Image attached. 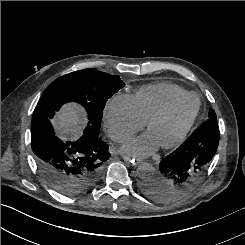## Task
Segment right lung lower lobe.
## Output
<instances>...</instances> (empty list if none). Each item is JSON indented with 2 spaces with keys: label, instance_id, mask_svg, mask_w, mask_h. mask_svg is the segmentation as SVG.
Here are the masks:
<instances>
[{
  "label": "right lung lower lobe",
  "instance_id": "98d812e1",
  "mask_svg": "<svg viewBox=\"0 0 245 245\" xmlns=\"http://www.w3.org/2000/svg\"><path fill=\"white\" fill-rule=\"evenodd\" d=\"M55 110L37 105L31 123V146L45 181L65 196L81 194L92 187L109 159V146L98 135L84 132L75 142L54 134L50 120Z\"/></svg>",
  "mask_w": 245,
  "mask_h": 245
}]
</instances>
